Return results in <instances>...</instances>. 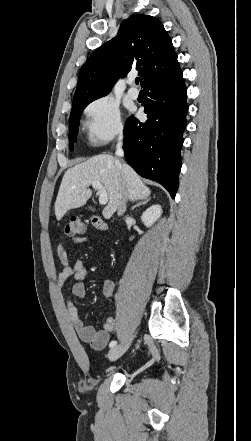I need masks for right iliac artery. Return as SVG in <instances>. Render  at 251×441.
<instances>
[{
	"instance_id": "1",
	"label": "right iliac artery",
	"mask_w": 251,
	"mask_h": 441,
	"mask_svg": "<svg viewBox=\"0 0 251 441\" xmlns=\"http://www.w3.org/2000/svg\"><path fill=\"white\" fill-rule=\"evenodd\" d=\"M116 344H117V342L113 340L110 342L109 347L113 348L114 346H116Z\"/></svg>"
}]
</instances>
